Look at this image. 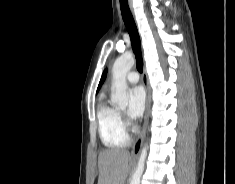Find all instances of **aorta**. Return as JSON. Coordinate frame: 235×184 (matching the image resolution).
<instances>
[{
	"label": "aorta",
	"mask_w": 235,
	"mask_h": 184,
	"mask_svg": "<svg viewBox=\"0 0 235 184\" xmlns=\"http://www.w3.org/2000/svg\"><path fill=\"white\" fill-rule=\"evenodd\" d=\"M134 62L135 60L132 58V54H123L121 58H118V60L114 62V66L112 68V86L114 88V94L111 98V102H113V104H117L119 108H126V106H128L129 92H127L128 86L126 82V74L131 70L132 66H134ZM147 154L148 146L147 144H144L139 156L137 168L132 176L130 184H140Z\"/></svg>",
	"instance_id": "obj_1"
}]
</instances>
